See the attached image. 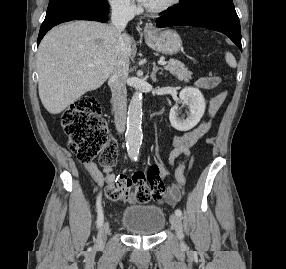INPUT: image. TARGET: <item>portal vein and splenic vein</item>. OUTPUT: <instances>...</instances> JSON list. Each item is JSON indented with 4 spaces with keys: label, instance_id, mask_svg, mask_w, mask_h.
<instances>
[{
    "label": "portal vein and splenic vein",
    "instance_id": "18ae733b",
    "mask_svg": "<svg viewBox=\"0 0 286 269\" xmlns=\"http://www.w3.org/2000/svg\"><path fill=\"white\" fill-rule=\"evenodd\" d=\"M158 64H159V65H166V61L163 60V59H160V60L158 61Z\"/></svg>",
    "mask_w": 286,
    "mask_h": 269
}]
</instances>
